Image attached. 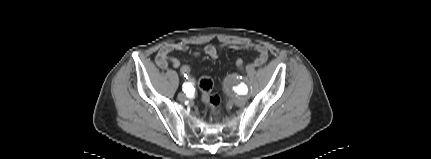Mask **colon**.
Segmentation results:
<instances>
[{"instance_id": "1", "label": "colon", "mask_w": 431, "mask_h": 159, "mask_svg": "<svg viewBox=\"0 0 431 159\" xmlns=\"http://www.w3.org/2000/svg\"><path fill=\"white\" fill-rule=\"evenodd\" d=\"M234 64L238 67V72L244 74L246 71L245 62L242 58H235ZM192 70L190 63L180 65V75L187 76ZM199 89L202 93V98L209 109L211 118H217L221 113V99L217 94L212 93L213 81L208 76H203L198 82Z\"/></svg>"}]
</instances>
